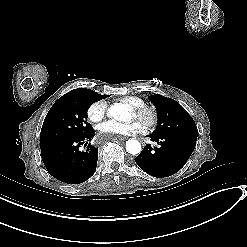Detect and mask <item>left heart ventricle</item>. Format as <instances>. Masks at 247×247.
Returning <instances> with one entry per match:
<instances>
[{"label":"left heart ventricle","instance_id":"left-heart-ventricle-1","mask_svg":"<svg viewBox=\"0 0 247 247\" xmlns=\"http://www.w3.org/2000/svg\"><path fill=\"white\" fill-rule=\"evenodd\" d=\"M131 114H132V118H131V120L135 117L134 116V114L131 112ZM145 119L147 118V116H145L144 117ZM140 122L143 124V125H145V120H140Z\"/></svg>","mask_w":247,"mask_h":247}]
</instances>
